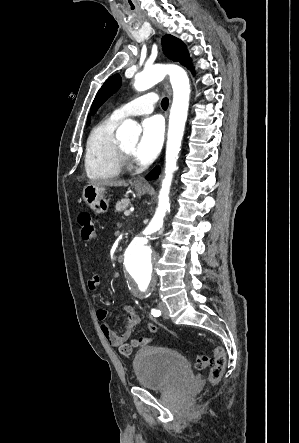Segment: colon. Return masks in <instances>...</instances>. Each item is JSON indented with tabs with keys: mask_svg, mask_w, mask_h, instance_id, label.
I'll list each match as a JSON object with an SVG mask.
<instances>
[{
	"mask_svg": "<svg viewBox=\"0 0 299 443\" xmlns=\"http://www.w3.org/2000/svg\"><path fill=\"white\" fill-rule=\"evenodd\" d=\"M78 223L80 225L81 236L86 241H91L95 238L96 230L92 216L88 212H81L78 215ZM212 364L210 371L211 383H217L221 380L226 366V355L222 347H216L213 350L212 358L205 354L197 355L195 360V367L203 369Z\"/></svg>",
	"mask_w": 299,
	"mask_h": 443,
	"instance_id": "colon-1",
	"label": "colon"
}]
</instances>
